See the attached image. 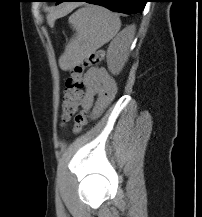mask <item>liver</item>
Wrapping results in <instances>:
<instances>
[{
  "label": "liver",
  "mask_w": 202,
  "mask_h": 217,
  "mask_svg": "<svg viewBox=\"0 0 202 217\" xmlns=\"http://www.w3.org/2000/svg\"><path fill=\"white\" fill-rule=\"evenodd\" d=\"M73 7H74L73 5H65V6L61 7L60 9L56 10L55 12L50 13L47 16L48 21H52L58 17H61L65 14H67L69 11H71L73 9Z\"/></svg>",
  "instance_id": "1"
}]
</instances>
